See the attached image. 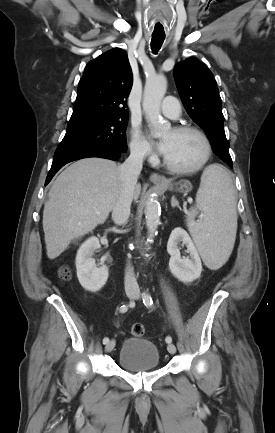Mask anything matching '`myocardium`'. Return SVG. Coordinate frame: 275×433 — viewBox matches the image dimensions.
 <instances>
[{
    "label": "myocardium",
    "instance_id": "myocardium-1",
    "mask_svg": "<svg viewBox=\"0 0 275 433\" xmlns=\"http://www.w3.org/2000/svg\"><path fill=\"white\" fill-rule=\"evenodd\" d=\"M173 131H175L177 133H193V134L197 135L198 137H200V139L204 143L205 153H204L202 160L197 165H195L193 167L181 168V167L174 166L167 160V158L165 156L163 157L164 166L169 171H171L172 173L180 174V175L194 174V173H197L198 171H200L201 169H203L206 166V164L208 163V161L210 160V158L212 156V152H213L212 143H211L208 135L203 130H201L200 128L195 127V126H190V125L176 126L173 128Z\"/></svg>",
    "mask_w": 275,
    "mask_h": 433
}]
</instances>
